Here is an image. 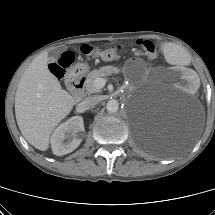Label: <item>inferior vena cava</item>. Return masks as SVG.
Here are the masks:
<instances>
[{
	"mask_svg": "<svg viewBox=\"0 0 215 215\" xmlns=\"http://www.w3.org/2000/svg\"><path fill=\"white\" fill-rule=\"evenodd\" d=\"M99 103V97L98 96H90L86 97L81 103L80 106L84 110L92 109Z\"/></svg>",
	"mask_w": 215,
	"mask_h": 215,
	"instance_id": "1",
	"label": "inferior vena cava"
}]
</instances>
